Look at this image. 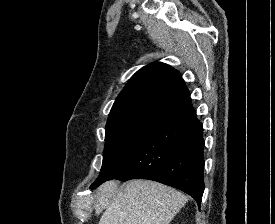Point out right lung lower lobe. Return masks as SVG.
I'll return each instance as SVG.
<instances>
[{
    "label": "right lung lower lobe",
    "mask_w": 275,
    "mask_h": 224,
    "mask_svg": "<svg viewBox=\"0 0 275 224\" xmlns=\"http://www.w3.org/2000/svg\"><path fill=\"white\" fill-rule=\"evenodd\" d=\"M203 126L190 98L167 110L106 180L148 179L184 191L198 206L204 191ZM106 180L93 185L96 188Z\"/></svg>",
    "instance_id": "obj_1"
}]
</instances>
